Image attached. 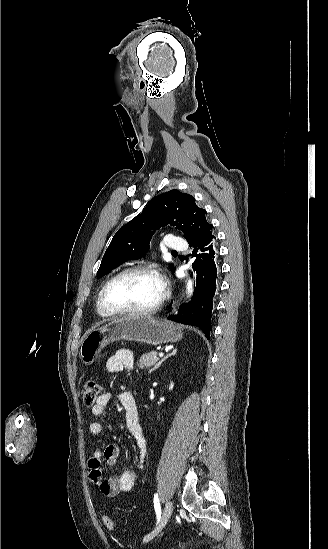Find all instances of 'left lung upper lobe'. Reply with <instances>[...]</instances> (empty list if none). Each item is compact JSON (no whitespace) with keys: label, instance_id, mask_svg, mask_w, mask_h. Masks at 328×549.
<instances>
[{"label":"left lung upper lobe","instance_id":"left-lung-upper-lobe-1","mask_svg":"<svg viewBox=\"0 0 328 549\" xmlns=\"http://www.w3.org/2000/svg\"><path fill=\"white\" fill-rule=\"evenodd\" d=\"M206 210L195 199L179 190H171L155 197L142 213L120 228L107 248L97 272L101 278L120 264L138 258L149 250L155 230L166 225L176 226L185 234L190 246L212 236ZM171 270L174 271L173 265Z\"/></svg>","mask_w":328,"mask_h":549}]
</instances>
